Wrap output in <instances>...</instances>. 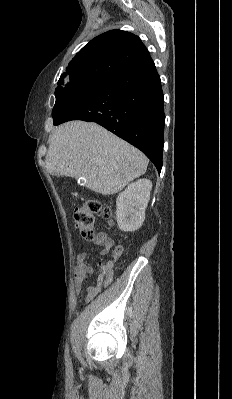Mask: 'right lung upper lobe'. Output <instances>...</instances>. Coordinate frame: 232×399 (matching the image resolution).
Instances as JSON below:
<instances>
[{
	"label": "right lung upper lobe",
	"mask_w": 232,
	"mask_h": 399,
	"mask_svg": "<svg viewBox=\"0 0 232 399\" xmlns=\"http://www.w3.org/2000/svg\"><path fill=\"white\" fill-rule=\"evenodd\" d=\"M150 57L140 38L122 30L105 32L85 45L71 60L58 81L55 94L76 79H107Z\"/></svg>",
	"instance_id": "right-lung-upper-lobe-1"
}]
</instances>
